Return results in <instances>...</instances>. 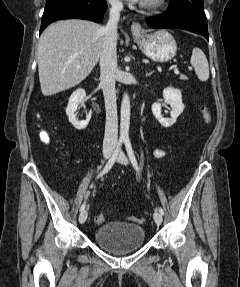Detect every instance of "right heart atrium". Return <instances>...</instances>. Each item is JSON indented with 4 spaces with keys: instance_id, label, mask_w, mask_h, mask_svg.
Instances as JSON below:
<instances>
[{
    "instance_id": "right-heart-atrium-1",
    "label": "right heart atrium",
    "mask_w": 240,
    "mask_h": 287,
    "mask_svg": "<svg viewBox=\"0 0 240 287\" xmlns=\"http://www.w3.org/2000/svg\"><path fill=\"white\" fill-rule=\"evenodd\" d=\"M110 4L113 6H118L120 4L119 0H109Z\"/></svg>"
}]
</instances>
